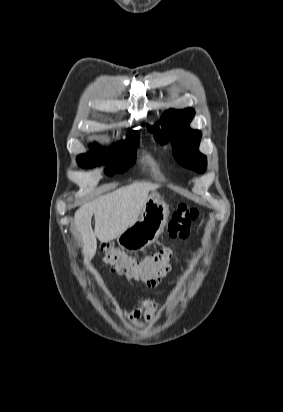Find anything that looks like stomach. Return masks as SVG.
Here are the masks:
<instances>
[{"mask_svg": "<svg viewBox=\"0 0 283 412\" xmlns=\"http://www.w3.org/2000/svg\"><path fill=\"white\" fill-rule=\"evenodd\" d=\"M169 216V207L158 193H152L139 219L117 237L122 249L142 250L154 243L163 232Z\"/></svg>", "mask_w": 283, "mask_h": 412, "instance_id": "stomach-1", "label": "stomach"}]
</instances>
